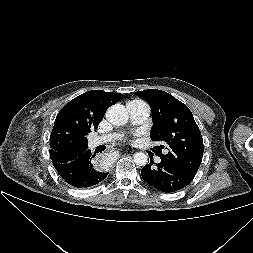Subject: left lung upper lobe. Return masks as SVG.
<instances>
[{
	"instance_id": "obj_1",
	"label": "left lung upper lobe",
	"mask_w": 253,
	"mask_h": 253,
	"mask_svg": "<svg viewBox=\"0 0 253 253\" xmlns=\"http://www.w3.org/2000/svg\"><path fill=\"white\" fill-rule=\"evenodd\" d=\"M136 95L151 107V139L165 145L155 146L152 151L193 180L203 157V139L189 108L161 90L148 89L138 91ZM164 147L166 153H162Z\"/></svg>"
}]
</instances>
